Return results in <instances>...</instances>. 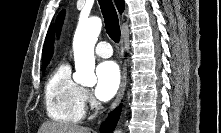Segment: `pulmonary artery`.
Returning a JSON list of instances; mask_svg holds the SVG:
<instances>
[{"mask_svg":"<svg viewBox=\"0 0 221 133\" xmlns=\"http://www.w3.org/2000/svg\"><path fill=\"white\" fill-rule=\"evenodd\" d=\"M95 53L97 56L102 58H109L112 56L113 51L109 42L102 41L99 42L95 48Z\"/></svg>","mask_w":221,"mask_h":133,"instance_id":"e3ab8cb5","label":"pulmonary artery"}]
</instances>
